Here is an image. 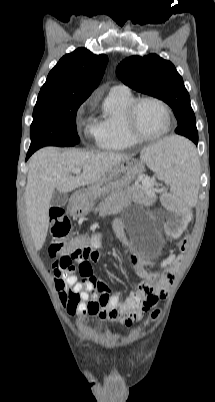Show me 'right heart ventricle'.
Wrapping results in <instances>:
<instances>
[{
    "label": "right heart ventricle",
    "mask_w": 215,
    "mask_h": 402,
    "mask_svg": "<svg viewBox=\"0 0 215 402\" xmlns=\"http://www.w3.org/2000/svg\"><path fill=\"white\" fill-rule=\"evenodd\" d=\"M136 99L130 90L112 89L107 95L102 113L96 123V141L103 150H125L138 144L126 128L125 114L129 104Z\"/></svg>",
    "instance_id": "e07e8e85"
}]
</instances>
